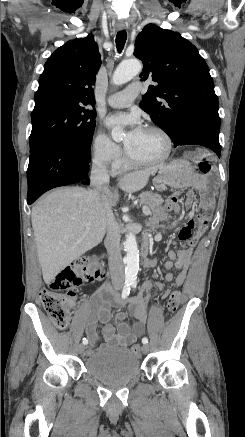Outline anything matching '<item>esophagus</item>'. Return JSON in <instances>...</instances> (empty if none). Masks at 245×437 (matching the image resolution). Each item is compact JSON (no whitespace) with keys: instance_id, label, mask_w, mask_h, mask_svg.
Returning a JSON list of instances; mask_svg holds the SVG:
<instances>
[{"instance_id":"1","label":"esophagus","mask_w":245,"mask_h":437,"mask_svg":"<svg viewBox=\"0 0 245 437\" xmlns=\"http://www.w3.org/2000/svg\"><path fill=\"white\" fill-rule=\"evenodd\" d=\"M125 24L123 23V22H118L117 24H116V28L118 29V30H123V29H125Z\"/></svg>"}]
</instances>
